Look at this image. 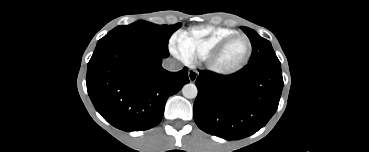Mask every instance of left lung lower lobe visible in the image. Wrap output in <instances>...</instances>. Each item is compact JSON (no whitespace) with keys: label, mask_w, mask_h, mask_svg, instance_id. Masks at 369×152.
Instances as JSON below:
<instances>
[{"label":"left lung lower lobe","mask_w":369,"mask_h":152,"mask_svg":"<svg viewBox=\"0 0 369 152\" xmlns=\"http://www.w3.org/2000/svg\"><path fill=\"white\" fill-rule=\"evenodd\" d=\"M195 84L197 126L225 140H238L264 127L276 112L283 78L281 65H258L231 75L199 71Z\"/></svg>","instance_id":"obj_1"}]
</instances>
